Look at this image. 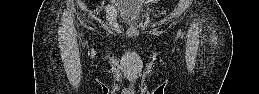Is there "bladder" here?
I'll return each instance as SVG.
<instances>
[{
  "label": "bladder",
  "instance_id": "obj_1",
  "mask_svg": "<svg viewBox=\"0 0 259 94\" xmlns=\"http://www.w3.org/2000/svg\"><path fill=\"white\" fill-rule=\"evenodd\" d=\"M117 11L118 20L126 26H137L147 21L152 13L141 1H121Z\"/></svg>",
  "mask_w": 259,
  "mask_h": 94
}]
</instances>
